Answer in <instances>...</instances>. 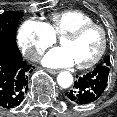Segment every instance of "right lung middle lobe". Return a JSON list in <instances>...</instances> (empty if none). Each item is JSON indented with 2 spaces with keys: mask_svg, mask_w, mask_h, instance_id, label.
Instances as JSON below:
<instances>
[{
  "mask_svg": "<svg viewBox=\"0 0 117 117\" xmlns=\"http://www.w3.org/2000/svg\"><path fill=\"white\" fill-rule=\"evenodd\" d=\"M23 15L22 12L6 11L0 15V40L15 41V33L18 20Z\"/></svg>",
  "mask_w": 117,
  "mask_h": 117,
  "instance_id": "1",
  "label": "right lung middle lobe"
}]
</instances>
